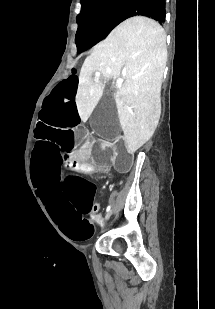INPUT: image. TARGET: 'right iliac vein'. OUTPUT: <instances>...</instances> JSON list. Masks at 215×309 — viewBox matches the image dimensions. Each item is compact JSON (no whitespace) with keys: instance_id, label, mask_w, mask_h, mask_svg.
Returning a JSON list of instances; mask_svg holds the SVG:
<instances>
[{"instance_id":"63e3f726","label":"right iliac vein","mask_w":215,"mask_h":309,"mask_svg":"<svg viewBox=\"0 0 215 309\" xmlns=\"http://www.w3.org/2000/svg\"><path fill=\"white\" fill-rule=\"evenodd\" d=\"M112 213H113V209H111L109 212H107L105 220L109 219L110 216L112 215Z\"/></svg>"}]
</instances>
